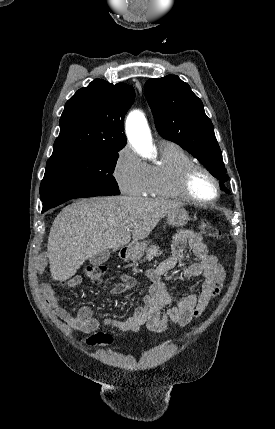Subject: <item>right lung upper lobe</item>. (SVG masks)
I'll return each instance as SVG.
<instances>
[{
  "label": "right lung upper lobe",
  "instance_id": "1",
  "mask_svg": "<svg viewBox=\"0 0 275 429\" xmlns=\"http://www.w3.org/2000/svg\"><path fill=\"white\" fill-rule=\"evenodd\" d=\"M134 98L132 86L102 79L79 89L65 104L53 152L121 150L126 145L123 120Z\"/></svg>",
  "mask_w": 275,
  "mask_h": 429
}]
</instances>
